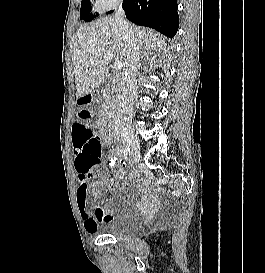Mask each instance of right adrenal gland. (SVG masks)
Instances as JSON below:
<instances>
[{"mask_svg": "<svg viewBox=\"0 0 265 273\" xmlns=\"http://www.w3.org/2000/svg\"><path fill=\"white\" fill-rule=\"evenodd\" d=\"M144 56H147V57H148V54H146L145 52H143L142 57H144Z\"/></svg>", "mask_w": 265, "mask_h": 273, "instance_id": "1", "label": "right adrenal gland"}]
</instances>
